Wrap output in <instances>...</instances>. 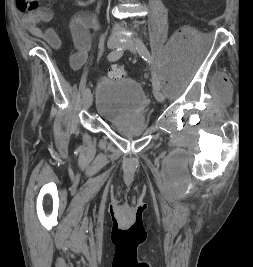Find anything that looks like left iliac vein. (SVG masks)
I'll use <instances>...</instances> for the list:
<instances>
[{"mask_svg":"<svg viewBox=\"0 0 253 267\" xmlns=\"http://www.w3.org/2000/svg\"><path fill=\"white\" fill-rule=\"evenodd\" d=\"M121 46H123L125 49L129 50L131 53H136L135 44L130 38H127V41L122 43ZM147 52L150 55V57L152 58V56H151V54H150L148 49H147ZM153 93H154V96L156 97V99L159 102L164 101L165 97H164L163 93L159 89H157V88L154 89Z\"/></svg>","mask_w":253,"mask_h":267,"instance_id":"4c4485c4","label":"left iliac vein"}]
</instances>
